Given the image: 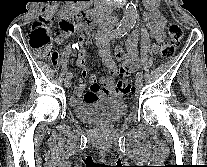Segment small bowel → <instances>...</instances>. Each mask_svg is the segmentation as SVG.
<instances>
[{
    "label": "small bowel",
    "instance_id": "obj_1",
    "mask_svg": "<svg viewBox=\"0 0 207 167\" xmlns=\"http://www.w3.org/2000/svg\"><path fill=\"white\" fill-rule=\"evenodd\" d=\"M82 18L83 16L79 17V19ZM145 18L146 23L149 27V35L155 42L151 47L152 52L155 53L158 51L159 45L165 37L164 27L166 21L165 18L156 9H154V7H149V11L146 14ZM71 32L72 31L62 32L57 37L56 42L59 44L63 43L64 38L68 37ZM101 35L102 34L99 36ZM145 37V32L134 30L126 41L127 53H125L121 47H117L115 50L116 58L122 62L121 69H123L127 74L135 71L138 68L139 46L143 43ZM97 46L99 48V55L102 58L103 64L113 75L117 71V65L111 54L109 44L107 42H97ZM77 63L82 69V76L86 77L89 71L86 57L84 55H80ZM112 75L108 77H102L100 79L102 87H100L96 77L91 76L90 85L88 91L85 94V84L83 81H80L73 90L75 96L70 99V103L75 106L83 102L96 101L108 96H117L119 91L115 87V80Z\"/></svg>",
    "mask_w": 207,
    "mask_h": 167
}]
</instances>
